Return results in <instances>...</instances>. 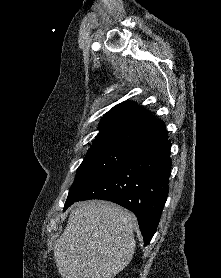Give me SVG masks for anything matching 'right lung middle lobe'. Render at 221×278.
<instances>
[{
    "label": "right lung middle lobe",
    "mask_w": 221,
    "mask_h": 278,
    "mask_svg": "<svg viewBox=\"0 0 221 278\" xmlns=\"http://www.w3.org/2000/svg\"><path fill=\"white\" fill-rule=\"evenodd\" d=\"M133 150L134 146L114 140L93 143L77 169L64 210L76 202L97 180L125 162Z\"/></svg>",
    "instance_id": "dd1d6c3e"
}]
</instances>
